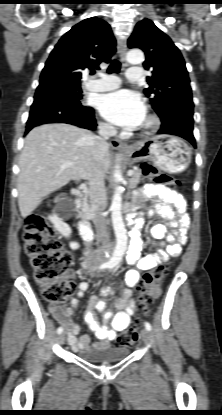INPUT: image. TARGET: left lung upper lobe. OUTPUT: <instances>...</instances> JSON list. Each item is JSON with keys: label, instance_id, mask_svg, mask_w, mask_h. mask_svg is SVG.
I'll return each instance as SVG.
<instances>
[{"label": "left lung upper lobe", "instance_id": "1", "mask_svg": "<svg viewBox=\"0 0 222 415\" xmlns=\"http://www.w3.org/2000/svg\"><path fill=\"white\" fill-rule=\"evenodd\" d=\"M129 48L145 52L143 66L151 71L147 77L149 87L144 93L161 119L183 114L181 100L192 96L188 71L179 49L172 40L148 19L137 23L128 40Z\"/></svg>", "mask_w": 222, "mask_h": 415}]
</instances>
